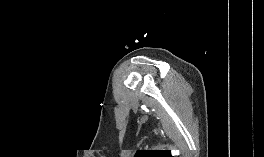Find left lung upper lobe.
Masks as SVG:
<instances>
[{
  "instance_id": "obj_1",
  "label": "left lung upper lobe",
  "mask_w": 264,
  "mask_h": 157,
  "mask_svg": "<svg viewBox=\"0 0 264 157\" xmlns=\"http://www.w3.org/2000/svg\"><path fill=\"white\" fill-rule=\"evenodd\" d=\"M135 157H173L170 151L166 150H139Z\"/></svg>"
}]
</instances>
